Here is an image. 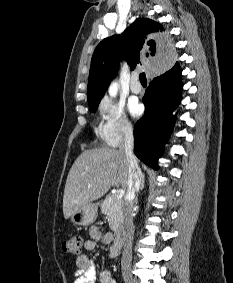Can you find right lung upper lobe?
Masks as SVG:
<instances>
[{
	"label": "right lung upper lobe",
	"mask_w": 233,
	"mask_h": 283,
	"mask_svg": "<svg viewBox=\"0 0 233 283\" xmlns=\"http://www.w3.org/2000/svg\"><path fill=\"white\" fill-rule=\"evenodd\" d=\"M163 26L147 18L136 19L121 35L102 40L96 47L90 66L87 99L89 106L99 104L110 81L116 76L123 58L134 69L136 63L144 60L150 70H169L174 65L176 54L184 49H174Z\"/></svg>",
	"instance_id": "right-lung-upper-lobe-1"
}]
</instances>
